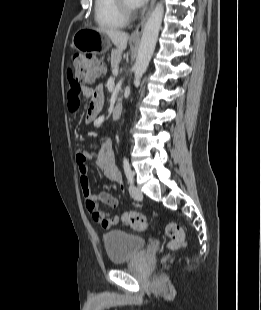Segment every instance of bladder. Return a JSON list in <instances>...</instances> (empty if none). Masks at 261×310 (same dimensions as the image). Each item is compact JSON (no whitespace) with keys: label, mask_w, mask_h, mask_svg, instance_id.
<instances>
[{"label":"bladder","mask_w":261,"mask_h":310,"mask_svg":"<svg viewBox=\"0 0 261 310\" xmlns=\"http://www.w3.org/2000/svg\"><path fill=\"white\" fill-rule=\"evenodd\" d=\"M103 242L112 264H122L134 259L146 246V239L124 231H111L104 235Z\"/></svg>","instance_id":"bladder-1"}]
</instances>
